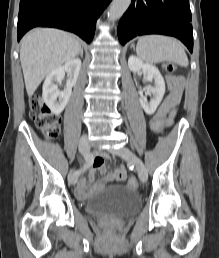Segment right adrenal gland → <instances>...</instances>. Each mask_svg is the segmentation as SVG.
<instances>
[{
    "instance_id": "obj_1",
    "label": "right adrenal gland",
    "mask_w": 219,
    "mask_h": 258,
    "mask_svg": "<svg viewBox=\"0 0 219 258\" xmlns=\"http://www.w3.org/2000/svg\"><path fill=\"white\" fill-rule=\"evenodd\" d=\"M80 56L83 57V49L80 50Z\"/></svg>"
}]
</instances>
